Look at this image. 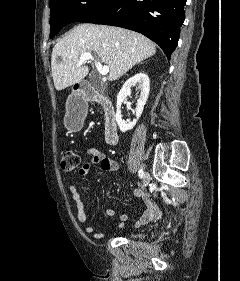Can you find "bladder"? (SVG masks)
<instances>
[{"label":"bladder","instance_id":"bladder-1","mask_svg":"<svg viewBox=\"0 0 240 281\" xmlns=\"http://www.w3.org/2000/svg\"><path fill=\"white\" fill-rule=\"evenodd\" d=\"M142 236H143V234H141V233L134 235L135 238H141Z\"/></svg>","mask_w":240,"mask_h":281}]
</instances>
